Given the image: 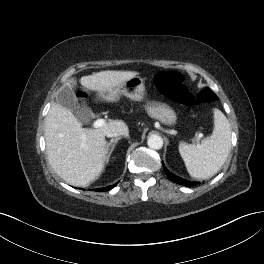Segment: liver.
Segmentation results:
<instances>
[{
    "label": "liver",
    "instance_id": "obj_1",
    "mask_svg": "<svg viewBox=\"0 0 264 264\" xmlns=\"http://www.w3.org/2000/svg\"><path fill=\"white\" fill-rule=\"evenodd\" d=\"M136 71H101L80 78L83 87L100 96L126 80L137 76ZM74 84L70 80L66 85ZM110 131H125L122 120H112L96 129L82 128L73 112L52 103L45 119V141L48 160L54 171L68 184L89 186L104 170L108 159L105 136Z\"/></svg>",
    "mask_w": 264,
    "mask_h": 264
}]
</instances>
